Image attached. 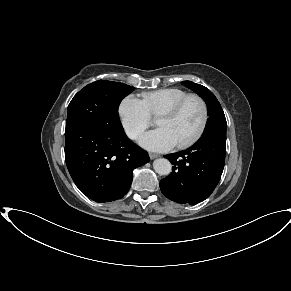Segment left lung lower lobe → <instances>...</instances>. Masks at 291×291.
I'll list each match as a JSON object with an SVG mask.
<instances>
[{"label":"left lung lower lobe","mask_w":291,"mask_h":291,"mask_svg":"<svg viewBox=\"0 0 291 291\" xmlns=\"http://www.w3.org/2000/svg\"><path fill=\"white\" fill-rule=\"evenodd\" d=\"M226 135L202 136L192 147L164 157L173 164L160 181L165 197L181 204H197L217 186L224 168Z\"/></svg>","instance_id":"1"}]
</instances>
